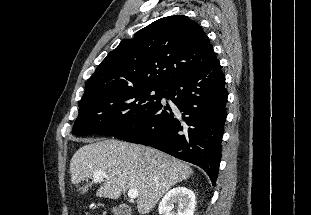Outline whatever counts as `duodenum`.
I'll list each match as a JSON object with an SVG mask.
<instances>
[{
	"mask_svg": "<svg viewBox=\"0 0 311 215\" xmlns=\"http://www.w3.org/2000/svg\"><path fill=\"white\" fill-rule=\"evenodd\" d=\"M117 215H131L130 209L127 206L122 205L118 208Z\"/></svg>",
	"mask_w": 311,
	"mask_h": 215,
	"instance_id": "duodenum-1",
	"label": "duodenum"
}]
</instances>
